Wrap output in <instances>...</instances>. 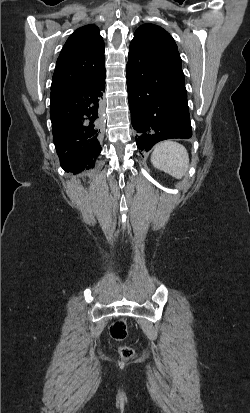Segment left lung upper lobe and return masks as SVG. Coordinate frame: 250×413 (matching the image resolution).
<instances>
[{"label":"left lung upper lobe","instance_id":"left-lung-upper-lobe-1","mask_svg":"<svg viewBox=\"0 0 250 413\" xmlns=\"http://www.w3.org/2000/svg\"><path fill=\"white\" fill-rule=\"evenodd\" d=\"M147 38L156 43L163 52L172 56L175 59V64L177 67L180 71L182 70L181 58L179 56L176 43L167 31L153 24L142 25L135 31L131 44L143 42Z\"/></svg>","mask_w":250,"mask_h":413}]
</instances>
